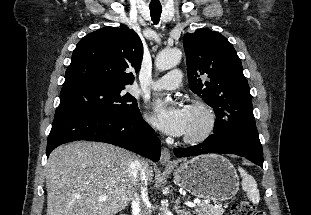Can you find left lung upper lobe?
Returning a JSON list of instances; mask_svg holds the SVG:
<instances>
[{"label":"left lung upper lobe","instance_id":"5c2ea615","mask_svg":"<svg viewBox=\"0 0 311 215\" xmlns=\"http://www.w3.org/2000/svg\"><path fill=\"white\" fill-rule=\"evenodd\" d=\"M183 45L190 88L215 111L214 133L256 125L249 85L232 44L222 34L202 28L185 34Z\"/></svg>","mask_w":311,"mask_h":215}]
</instances>
